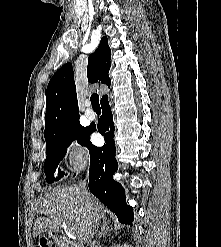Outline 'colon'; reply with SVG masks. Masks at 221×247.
Returning a JSON list of instances; mask_svg holds the SVG:
<instances>
[{
  "mask_svg": "<svg viewBox=\"0 0 221 247\" xmlns=\"http://www.w3.org/2000/svg\"><path fill=\"white\" fill-rule=\"evenodd\" d=\"M37 247H51V245L49 244V242L44 241V242L40 243L39 246H37Z\"/></svg>",
  "mask_w": 221,
  "mask_h": 247,
  "instance_id": "5ec220e1",
  "label": "colon"
}]
</instances>
